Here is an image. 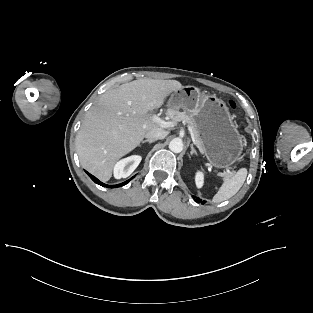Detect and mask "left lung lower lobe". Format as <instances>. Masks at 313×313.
Listing matches in <instances>:
<instances>
[{
	"label": "left lung lower lobe",
	"instance_id": "obj_1",
	"mask_svg": "<svg viewBox=\"0 0 313 313\" xmlns=\"http://www.w3.org/2000/svg\"><path fill=\"white\" fill-rule=\"evenodd\" d=\"M194 199H195V197H193ZM196 202H198V203H200L201 202V200L199 199V198H196V200H195ZM202 203H204V202H202Z\"/></svg>",
	"mask_w": 313,
	"mask_h": 313
}]
</instances>
